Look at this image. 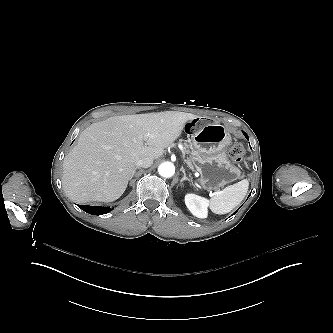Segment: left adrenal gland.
<instances>
[{
  "label": "left adrenal gland",
  "mask_w": 333,
  "mask_h": 333,
  "mask_svg": "<svg viewBox=\"0 0 333 333\" xmlns=\"http://www.w3.org/2000/svg\"><path fill=\"white\" fill-rule=\"evenodd\" d=\"M182 173H183V178L180 180V184H183V182L185 181H190L187 177H186V172L185 169H182Z\"/></svg>",
  "instance_id": "1"
}]
</instances>
